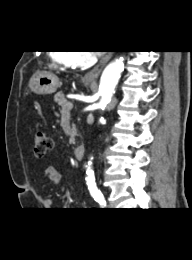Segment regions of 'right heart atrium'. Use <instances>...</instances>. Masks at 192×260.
Returning a JSON list of instances; mask_svg holds the SVG:
<instances>
[{
	"label": "right heart atrium",
	"instance_id": "1",
	"mask_svg": "<svg viewBox=\"0 0 192 260\" xmlns=\"http://www.w3.org/2000/svg\"><path fill=\"white\" fill-rule=\"evenodd\" d=\"M70 60L73 66L82 67L91 60V55L86 51H74L70 53Z\"/></svg>",
	"mask_w": 192,
	"mask_h": 260
}]
</instances>
